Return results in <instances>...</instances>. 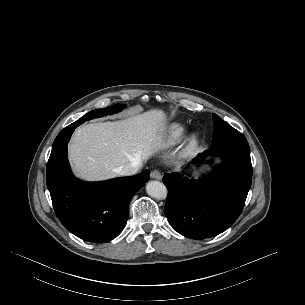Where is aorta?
I'll use <instances>...</instances> for the list:
<instances>
[{
	"label": "aorta",
	"instance_id": "1",
	"mask_svg": "<svg viewBox=\"0 0 305 305\" xmlns=\"http://www.w3.org/2000/svg\"><path fill=\"white\" fill-rule=\"evenodd\" d=\"M146 192L149 196L159 200L165 199L168 193L166 186L159 181L148 182Z\"/></svg>",
	"mask_w": 305,
	"mask_h": 305
}]
</instances>
